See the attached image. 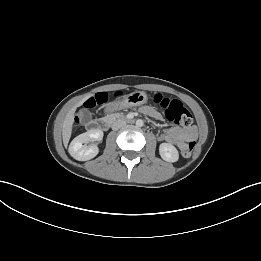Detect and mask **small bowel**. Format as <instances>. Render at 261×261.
I'll use <instances>...</instances> for the list:
<instances>
[{
	"label": "small bowel",
	"mask_w": 261,
	"mask_h": 261,
	"mask_svg": "<svg viewBox=\"0 0 261 261\" xmlns=\"http://www.w3.org/2000/svg\"><path fill=\"white\" fill-rule=\"evenodd\" d=\"M141 111L145 115L156 119H160L162 117L161 113L151 106H144L141 108ZM195 138L196 130L194 128L183 129L177 126L167 128L159 134L160 140L175 144L180 150H182L189 141H192Z\"/></svg>",
	"instance_id": "c3829d8e"
}]
</instances>
